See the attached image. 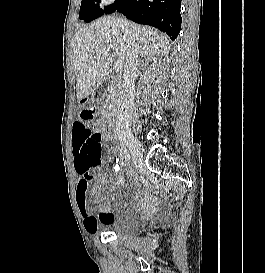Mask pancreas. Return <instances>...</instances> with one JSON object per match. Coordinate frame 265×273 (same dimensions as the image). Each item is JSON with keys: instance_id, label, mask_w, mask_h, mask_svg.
I'll return each instance as SVG.
<instances>
[{"instance_id": "1", "label": "pancreas", "mask_w": 265, "mask_h": 273, "mask_svg": "<svg viewBox=\"0 0 265 273\" xmlns=\"http://www.w3.org/2000/svg\"><path fill=\"white\" fill-rule=\"evenodd\" d=\"M106 99L105 103L103 105L104 110H110L113 111L116 108L117 105V91L114 87H111L108 89V91L105 93Z\"/></svg>"}]
</instances>
